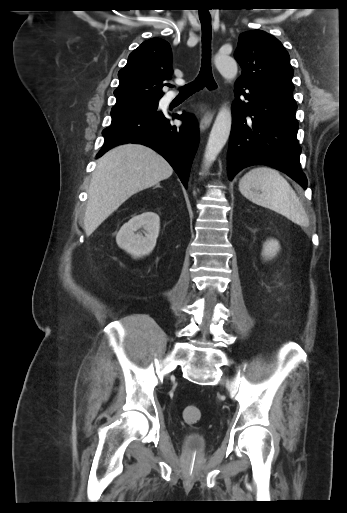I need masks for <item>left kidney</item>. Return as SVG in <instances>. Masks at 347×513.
Listing matches in <instances>:
<instances>
[{
	"label": "left kidney",
	"instance_id": "5707ae66",
	"mask_svg": "<svg viewBox=\"0 0 347 513\" xmlns=\"http://www.w3.org/2000/svg\"><path fill=\"white\" fill-rule=\"evenodd\" d=\"M280 250V244L276 239L267 240L263 245L262 256L266 259L273 258Z\"/></svg>",
	"mask_w": 347,
	"mask_h": 513
}]
</instances>
